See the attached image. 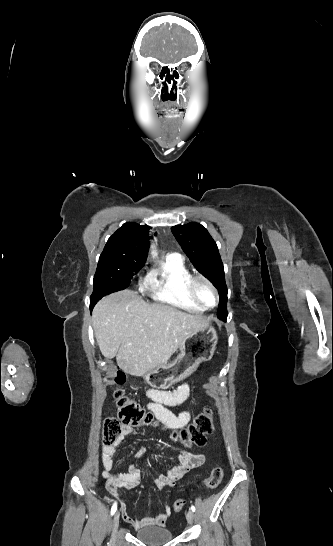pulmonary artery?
Masks as SVG:
<instances>
[{
    "label": "pulmonary artery",
    "mask_w": 333,
    "mask_h": 546,
    "mask_svg": "<svg viewBox=\"0 0 333 546\" xmlns=\"http://www.w3.org/2000/svg\"><path fill=\"white\" fill-rule=\"evenodd\" d=\"M168 257L181 258V255L179 253H171V254L168 255Z\"/></svg>",
    "instance_id": "pulmonary-artery-1"
}]
</instances>
